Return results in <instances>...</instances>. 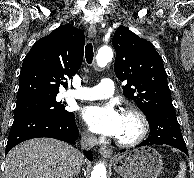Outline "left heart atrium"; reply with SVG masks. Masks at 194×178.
I'll list each match as a JSON object with an SVG mask.
<instances>
[{
  "mask_svg": "<svg viewBox=\"0 0 194 178\" xmlns=\"http://www.w3.org/2000/svg\"><path fill=\"white\" fill-rule=\"evenodd\" d=\"M82 118L98 134L117 137L122 127V114L112 105H91L82 110Z\"/></svg>",
  "mask_w": 194,
  "mask_h": 178,
  "instance_id": "left-heart-atrium-1",
  "label": "left heart atrium"
}]
</instances>
